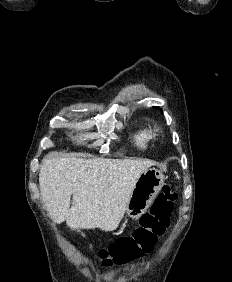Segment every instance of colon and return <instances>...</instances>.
Returning <instances> with one entry per match:
<instances>
[{"mask_svg": "<svg viewBox=\"0 0 232 282\" xmlns=\"http://www.w3.org/2000/svg\"><path fill=\"white\" fill-rule=\"evenodd\" d=\"M177 193L171 186H163L148 213L144 214L139 226L128 236L112 243L108 248L97 251L96 256L104 266L123 265L150 253L159 236L170 224Z\"/></svg>", "mask_w": 232, "mask_h": 282, "instance_id": "1", "label": "colon"}]
</instances>
